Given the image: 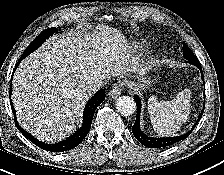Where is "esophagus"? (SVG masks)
<instances>
[{
    "label": "esophagus",
    "mask_w": 224,
    "mask_h": 175,
    "mask_svg": "<svg viewBox=\"0 0 224 175\" xmlns=\"http://www.w3.org/2000/svg\"><path fill=\"white\" fill-rule=\"evenodd\" d=\"M123 90V85L120 84H114L113 87L109 91V96L113 99L119 97L122 93Z\"/></svg>",
    "instance_id": "obj_1"
}]
</instances>
